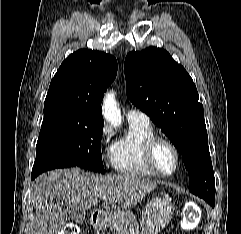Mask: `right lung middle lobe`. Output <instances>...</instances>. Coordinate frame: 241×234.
<instances>
[{
  "instance_id": "dd1d6c3e",
  "label": "right lung middle lobe",
  "mask_w": 241,
  "mask_h": 234,
  "mask_svg": "<svg viewBox=\"0 0 241 234\" xmlns=\"http://www.w3.org/2000/svg\"><path fill=\"white\" fill-rule=\"evenodd\" d=\"M103 121H92L72 109H44L33 170L47 168L54 162L105 173L101 155Z\"/></svg>"
}]
</instances>
